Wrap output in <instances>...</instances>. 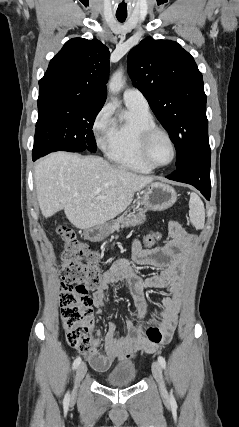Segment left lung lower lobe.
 <instances>
[{
    "label": "left lung lower lobe",
    "instance_id": "left-lung-lower-lobe-1",
    "mask_svg": "<svg viewBox=\"0 0 239 427\" xmlns=\"http://www.w3.org/2000/svg\"><path fill=\"white\" fill-rule=\"evenodd\" d=\"M210 157V150L197 154L167 178L193 185L209 200L211 193Z\"/></svg>",
    "mask_w": 239,
    "mask_h": 427
}]
</instances>
